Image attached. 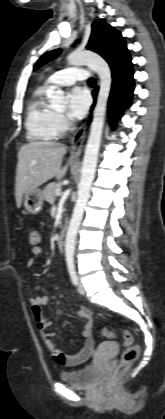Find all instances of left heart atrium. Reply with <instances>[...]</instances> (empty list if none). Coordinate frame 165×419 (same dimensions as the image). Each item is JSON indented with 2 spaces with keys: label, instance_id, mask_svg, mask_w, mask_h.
Masks as SVG:
<instances>
[{
  "label": "left heart atrium",
  "instance_id": "1",
  "mask_svg": "<svg viewBox=\"0 0 165 419\" xmlns=\"http://www.w3.org/2000/svg\"><path fill=\"white\" fill-rule=\"evenodd\" d=\"M90 104L88 92L80 87L73 88L68 93V116L72 119H82Z\"/></svg>",
  "mask_w": 165,
  "mask_h": 419
}]
</instances>
